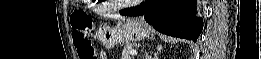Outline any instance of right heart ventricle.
Returning <instances> with one entry per match:
<instances>
[{
    "mask_svg": "<svg viewBox=\"0 0 261 59\" xmlns=\"http://www.w3.org/2000/svg\"><path fill=\"white\" fill-rule=\"evenodd\" d=\"M99 9H100V10H108V9H106V8H103V9H102V8H99Z\"/></svg>",
    "mask_w": 261,
    "mask_h": 59,
    "instance_id": "obj_1",
    "label": "right heart ventricle"
}]
</instances>
